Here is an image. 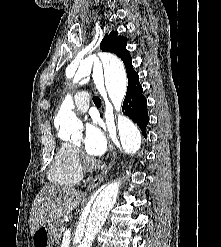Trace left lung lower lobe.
<instances>
[{
	"label": "left lung lower lobe",
	"mask_w": 221,
	"mask_h": 247,
	"mask_svg": "<svg viewBox=\"0 0 221 247\" xmlns=\"http://www.w3.org/2000/svg\"><path fill=\"white\" fill-rule=\"evenodd\" d=\"M142 92L143 89L139 83V77L132 78L128 82L122 110L126 116L131 118L139 126L144 137H147L145 130L149 122V117L147 113V101Z\"/></svg>",
	"instance_id": "1"
}]
</instances>
